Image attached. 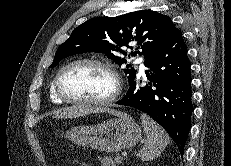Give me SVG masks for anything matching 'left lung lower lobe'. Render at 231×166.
<instances>
[{"label": "left lung lower lobe", "mask_w": 231, "mask_h": 166, "mask_svg": "<svg viewBox=\"0 0 231 166\" xmlns=\"http://www.w3.org/2000/svg\"><path fill=\"white\" fill-rule=\"evenodd\" d=\"M149 80L139 75L129 83L127 94L116 104L130 106L151 116L171 136L183 155L191 127V64L182 32L177 28L169 40L145 60Z\"/></svg>", "instance_id": "left-lung-lower-lobe-1"}]
</instances>
